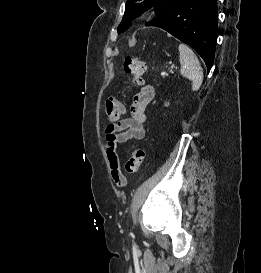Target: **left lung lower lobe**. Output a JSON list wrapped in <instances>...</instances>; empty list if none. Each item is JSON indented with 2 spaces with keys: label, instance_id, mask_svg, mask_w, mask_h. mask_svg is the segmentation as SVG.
Instances as JSON below:
<instances>
[{
  "label": "left lung lower lobe",
  "instance_id": "obj_1",
  "mask_svg": "<svg viewBox=\"0 0 261 273\" xmlns=\"http://www.w3.org/2000/svg\"><path fill=\"white\" fill-rule=\"evenodd\" d=\"M146 26L160 27L191 46L213 65L217 37L218 7L216 0H173Z\"/></svg>",
  "mask_w": 261,
  "mask_h": 273
}]
</instances>
